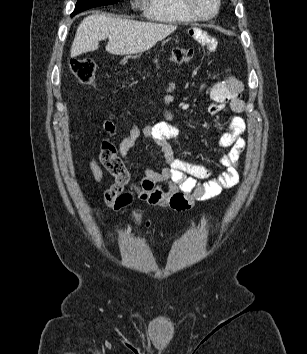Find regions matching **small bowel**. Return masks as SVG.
<instances>
[{"label": "small bowel", "mask_w": 307, "mask_h": 354, "mask_svg": "<svg viewBox=\"0 0 307 354\" xmlns=\"http://www.w3.org/2000/svg\"><path fill=\"white\" fill-rule=\"evenodd\" d=\"M189 34L208 50H214L217 46L216 40L202 29L192 28ZM226 72L229 73L230 68H226ZM175 88V82L171 81L165 91V121L142 128L131 125L128 134L118 145L104 140L99 157L93 155L89 158V168L96 182L103 179L100 165L114 176V183L104 193L109 206L119 209L129 206L137 199L152 206L185 211L192 208L197 201L213 198L223 189L237 184L240 157L245 149V141L242 138L245 122L240 117L245 106L239 98L242 84L231 78L216 86L211 94L213 104L209 106V113L212 116L217 117L224 110L226 102L234 114L228 121V131L218 140V146L227 149V152L218 159L224 170L216 178H211L212 170L208 165L179 158L174 151L173 145L180 135V126L169 109ZM100 127L108 135L116 133V125L111 120L103 121ZM140 137L147 139L162 153L164 168L161 172H156L144 166L142 180L138 184L130 185L129 169L138 167L139 163L131 161L128 154ZM163 185L166 189L162 188Z\"/></svg>", "instance_id": "small-bowel-1"}]
</instances>
